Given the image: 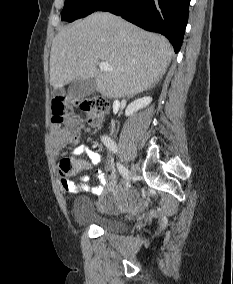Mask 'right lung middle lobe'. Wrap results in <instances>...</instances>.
<instances>
[{
	"instance_id": "1",
	"label": "right lung middle lobe",
	"mask_w": 233,
	"mask_h": 284,
	"mask_svg": "<svg viewBox=\"0 0 233 284\" xmlns=\"http://www.w3.org/2000/svg\"><path fill=\"white\" fill-rule=\"evenodd\" d=\"M106 0H65L62 20L72 22L96 11Z\"/></svg>"
}]
</instances>
